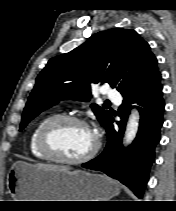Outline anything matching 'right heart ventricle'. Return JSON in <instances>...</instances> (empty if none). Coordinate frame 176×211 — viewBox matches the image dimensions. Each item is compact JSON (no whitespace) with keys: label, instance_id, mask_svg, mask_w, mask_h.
Listing matches in <instances>:
<instances>
[{"label":"right heart ventricle","instance_id":"obj_1","mask_svg":"<svg viewBox=\"0 0 176 211\" xmlns=\"http://www.w3.org/2000/svg\"><path fill=\"white\" fill-rule=\"evenodd\" d=\"M51 117H53L52 115H47L43 118H41L33 127L30 137H29V150L31 155L39 160H50L49 157H47L45 154H43L39 147H38V134L40 131V128L42 127V125Z\"/></svg>","mask_w":176,"mask_h":211}]
</instances>
